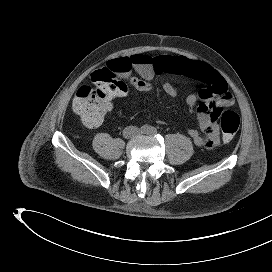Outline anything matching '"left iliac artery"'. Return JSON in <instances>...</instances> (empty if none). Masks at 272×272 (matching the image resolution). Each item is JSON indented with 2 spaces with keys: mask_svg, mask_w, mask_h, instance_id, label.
I'll return each instance as SVG.
<instances>
[{
  "mask_svg": "<svg viewBox=\"0 0 272 272\" xmlns=\"http://www.w3.org/2000/svg\"><path fill=\"white\" fill-rule=\"evenodd\" d=\"M156 133H157V129L154 128V127H151V128H150V131H149V134L155 135Z\"/></svg>",
  "mask_w": 272,
  "mask_h": 272,
  "instance_id": "1",
  "label": "left iliac artery"
}]
</instances>
